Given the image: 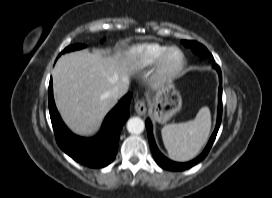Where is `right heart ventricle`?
Here are the masks:
<instances>
[{
	"label": "right heart ventricle",
	"mask_w": 272,
	"mask_h": 198,
	"mask_svg": "<svg viewBox=\"0 0 272 198\" xmlns=\"http://www.w3.org/2000/svg\"><path fill=\"white\" fill-rule=\"evenodd\" d=\"M169 46L160 43H145L132 49V64L138 69L155 65Z\"/></svg>",
	"instance_id": "1"
}]
</instances>
